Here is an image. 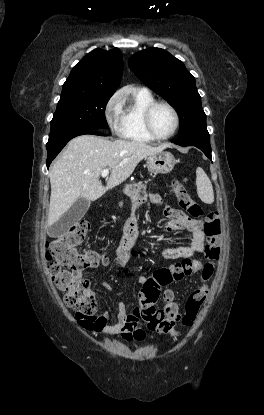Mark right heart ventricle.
Wrapping results in <instances>:
<instances>
[{
    "label": "right heart ventricle",
    "instance_id": "1",
    "mask_svg": "<svg viewBox=\"0 0 264 415\" xmlns=\"http://www.w3.org/2000/svg\"><path fill=\"white\" fill-rule=\"evenodd\" d=\"M155 101L148 90H135L131 98L121 106L120 136L133 142L149 143L154 141L143 126L142 114L144 109Z\"/></svg>",
    "mask_w": 264,
    "mask_h": 415
}]
</instances>
